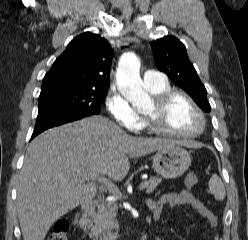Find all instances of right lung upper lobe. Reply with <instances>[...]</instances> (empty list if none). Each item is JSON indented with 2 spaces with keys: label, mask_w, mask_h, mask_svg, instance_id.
<instances>
[{
  "label": "right lung upper lobe",
  "mask_w": 248,
  "mask_h": 240,
  "mask_svg": "<svg viewBox=\"0 0 248 240\" xmlns=\"http://www.w3.org/2000/svg\"><path fill=\"white\" fill-rule=\"evenodd\" d=\"M112 55L109 43L97 34L75 37L45 75L41 93L65 88L107 89Z\"/></svg>",
  "instance_id": "cb5924a9"
}]
</instances>
